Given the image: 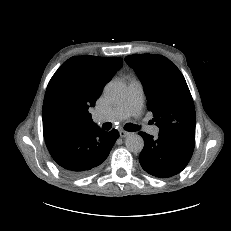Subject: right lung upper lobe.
<instances>
[{
	"label": "right lung upper lobe",
	"mask_w": 231,
	"mask_h": 231,
	"mask_svg": "<svg viewBox=\"0 0 231 231\" xmlns=\"http://www.w3.org/2000/svg\"><path fill=\"white\" fill-rule=\"evenodd\" d=\"M122 64V58L85 55L71 57L59 67L48 83L43 105L51 97H60L69 106L71 116L60 133L97 126L88 109L95 106L104 86ZM43 132L44 136L53 135L47 129L44 112Z\"/></svg>",
	"instance_id": "cb5924a9"
}]
</instances>
